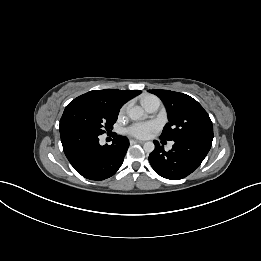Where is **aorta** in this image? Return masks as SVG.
<instances>
[{
	"label": "aorta",
	"instance_id": "obj_1",
	"mask_svg": "<svg viewBox=\"0 0 261 261\" xmlns=\"http://www.w3.org/2000/svg\"><path fill=\"white\" fill-rule=\"evenodd\" d=\"M144 110L140 106H134L128 110V116L132 120H140L144 117ZM143 149L147 153H151L155 149V145L153 142L148 141L143 145Z\"/></svg>",
	"mask_w": 261,
	"mask_h": 261
}]
</instances>
